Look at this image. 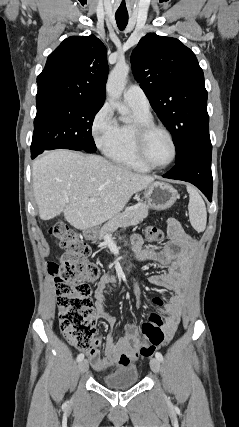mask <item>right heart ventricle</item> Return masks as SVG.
<instances>
[{"label":"right heart ventricle","instance_id":"e07e8e85","mask_svg":"<svg viewBox=\"0 0 239 427\" xmlns=\"http://www.w3.org/2000/svg\"><path fill=\"white\" fill-rule=\"evenodd\" d=\"M132 120L117 123L116 134L104 151L106 156L114 163L138 172H148L150 168L144 165L137 156L135 148L134 126L137 122H153L150 111H143L130 106Z\"/></svg>","mask_w":239,"mask_h":427}]
</instances>
